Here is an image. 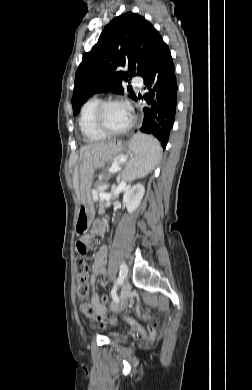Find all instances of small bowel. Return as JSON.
Returning <instances> with one entry per match:
<instances>
[{"instance_id": "small-bowel-1", "label": "small bowel", "mask_w": 252, "mask_h": 390, "mask_svg": "<svg viewBox=\"0 0 252 390\" xmlns=\"http://www.w3.org/2000/svg\"><path fill=\"white\" fill-rule=\"evenodd\" d=\"M106 225L107 223L105 220L94 221L90 230V234L81 236L79 241L77 242V252L80 254H86L87 249L86 250L83 249L82 245H85L87 247L92 235L103 234L106 229ZM107 256H108V248L106 246L99 247V249L95 253L94 260H93L92 269L94 275H101L103 277L107 276V270L105 268ZM91 284L92 285L95 284V277L91 278ZM90 301L94 306L95 311L99 315H104L106 313V307L104 305L105 303L102 301V298L99 297L98 293L94 289H92L90 292ZM126 320L130 323L132 322L130 318H126Z\"/></svg>"}]
</instances>
